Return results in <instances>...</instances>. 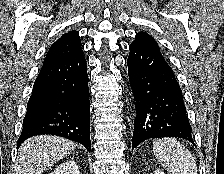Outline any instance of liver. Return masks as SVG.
Listing matches in <instances>:
<instances>
[{
  "label": "liver",
  "instance_id": "liver-1",
  "mask_svg": "<svg viewBox=\"0 0 224 174\" xmlns=\"http://www.w3.org/2000/svg\"><path fill=\"white\" fill-rule=\"evenodd\" d=\"M75 148L74 142L54 135L29 138L19 148L16 174H41Z\"/></svg>",
  "mask_w": 224,
  "mask_h": 174
}]
</instances>
